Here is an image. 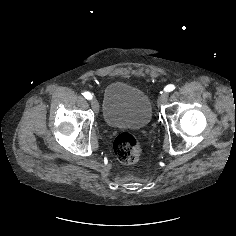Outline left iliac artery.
Listing matches in <instances>:
<instances>
[{
    "label": "left iliac artery",
    "instance_id": "1",
    "mask_svg": "<svg viewBox=\"0 0 236 236\" xmlns=\"http://www.w3.org/2000/svg\"><path fill=\"white\" fill-rule=\"evenodd\" d=\"M174 89H175V86L172 85V84H169V85H167V86L164 88V90H165L166 92H171V91H173Z\"/></svg>",
    "mask_w": 236,
    "mask_h": 236
}]
</instances>
